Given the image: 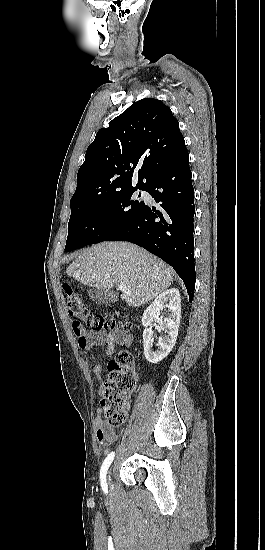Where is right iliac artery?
<instances>
[{
    "mask_svg": "<svg viewBox=\"0 0 265 550\" xmlns=\"http://www.w3.org/2000/svg\"><path fill=\"white\" fill-rule=\"evenodd\" d=\"M115 456V452H111L106 459L104 460L101 471H100V479H101V486L104 492H107V483H106V474L109 466L111 465L113 459Z\"/></svg>",
    "mask_w": 265,
    "mask_h": 550,
    "instance_id": "1",
    "label": "right iliac artery"
}]
</instances>
